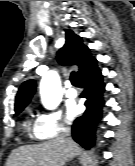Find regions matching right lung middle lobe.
Segmentation results:
<instances>
[{"instance_id":"right-lung-middle-lobe-1","label":"right lung middle lobe","mask_w":135,"mask_h":166,"mask_svg":"<svg viewBox=\"0 0 135 166\" xmlns=\"http://www.w3.org/2000/svg\"><path fill=\"white\" fill-rule=\"evenodd\" d=\"M26 106L19 107L18 109H15V116H17Z\"/></svg>"}]
</instances>
